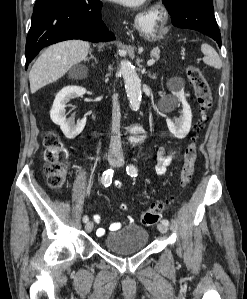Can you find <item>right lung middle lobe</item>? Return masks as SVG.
<instances>
[{
    "mask_svg": "<svg viewBox=\"0 0 247 299\" xmlns=\"http://www.w3.org/2000/svg\"><path fill=\"white\" fill-rule=\"evenodd\" d=\"M57 1H59V0H36L33 12H36V11L54 3V2H57Z\"/></svg>",
    "mask_w": 247,
    "mask_h": 299,
    "instance_id": "dd1d6c3e",
    "label": "right lung middle lobe"
}]
</instances>
